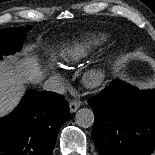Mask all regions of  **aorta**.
<instances>
[{"label": "aorta", "mask_w": 155, "mask_h": 155, "mask_svg": "<svg viewBox=\"0 0 155 155\" xmlns=\"http://www.w3.org/2000/svg\"><path fill=\"white\" fill-rule=\"evenodd\" d=\"M94 113L89 108H81L75 115L76 124L80 127H90L94 123Z\"/></svg>", "instance_id": "762f6f07"}]
</instances>
